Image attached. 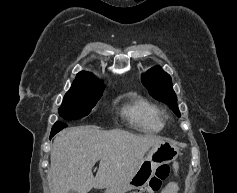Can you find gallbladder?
Returning <instances> with one entry per match:
<instances>
[{
    "label": "gallbladder",
    "mask_w": 237,
    "mask_h": 193,
    "mask_svg": "<svg viewBox=\"0 0 237 193\" xmlns=\"http://www.w3.org/2000/svg\"><path fill=\"white\" fill-rule=\"evenodd\" d=\"M68 193H77V192L74 190H70Z\"/></svg>",
    "instance_id": "1"
}]
</instances>
